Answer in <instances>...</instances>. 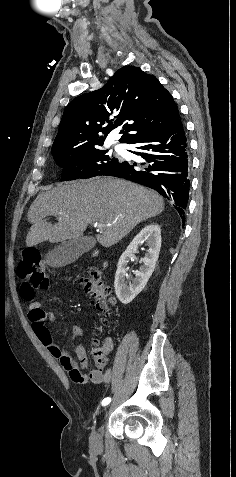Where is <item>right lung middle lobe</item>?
Segmentation results:
<instances>
[{
	"label": "right lung middle lobe",
	"instance_id": "1",
	"mask_svg": "<svg viewBox=\"0 0 236 477\" xmlns=\"http://www.w3.org/2000/svg\"><path fill=\"white\" fill-rule=\"evenodd\" d=\"M108 150L88 147L80 151L53 155L55 162L63 168L61 181L88 179L107 175L123 161L107 154Z\"/></svg>",
	"mask_w": 236,
	"mask_h": 477
}]
</instances>
